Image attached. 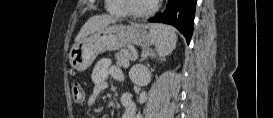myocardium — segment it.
<instances>
[{"instance_id": "myocardium-1", "label": "myocardium", "mask_w": 273, "mask_h": 118, "mask_svg": "<svg viewBox=\"0 0 273 118\" xmlns=\"http://www.w3.org/2000/svg\"><path fill=\"white\" fill-rule=\"evenodd\" d=\"M125 5H126V12L129 15L134 16V17H148V16L152 15L157 9L156 4L152 3L147 10L137 11V10L133 9L132 0H125Z\"/></svg>"}]
</instances>
